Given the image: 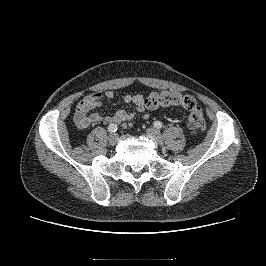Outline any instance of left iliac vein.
<instances>
[{
  "instance_id": "left-iliac-vein-1",
  "label": "left iliac vein",
  "mask_w": 266,
  "mask_h": 266,
  "mask_svg": "<svg viewBox=\"0 0 266 266\" xmlns=\"http://www.w3.org/2000/svg\"><path fill=\"white\" fill-rule=\"evenodd\" d=\"M146 134L148 137L154 139L155 141H157L158 143H161L163 141V136L160 133L159 130L155 129V128H148L146 130Z\"/></svg>"
}]
</instances>
